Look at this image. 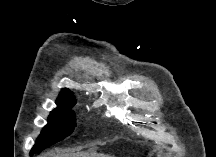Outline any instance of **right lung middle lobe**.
Listing matches in <instances>:
<instances>
[{
    "label": "right lung middle lobe",
    "mask_w": 216,
    "mask_h": 157,
    "mask_svg": "<svg viewBox=\"0 0 216 157\" xmlns=\"http://www.w3.org/2000/svg\"><path fill=\"white\" fill-rule=\"evenodd\" d=\"M75 102V98L72 96L57 99V108L50 113L48 124L41 131L30 155L63 140L73 132L76 121L71 108Z\"/></svg>",
    "instance_id": "dd1d6c3e"
}]
</instances>
